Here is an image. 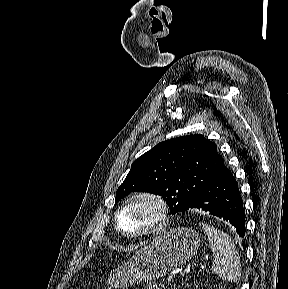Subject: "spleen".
<instances>
[{"instance_id":"spleen-1","label":"spleen","mask_w":288,"mask_h":289,"mask_svg":"<svg viewBox=\"0 0 288 289\" xmlns=\"http://www.w3.org/2000/svg\"><path fill=\"white\" fill-rule=\"evenodd\" d=\"M213 253L212 270L223 280L237 283L241 278L240 256L228 234L208 224H201Z\"/></svg>"}]
</instances>
